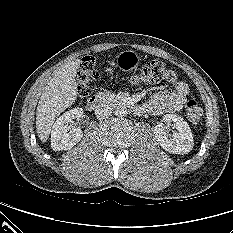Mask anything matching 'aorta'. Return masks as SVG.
I'll return each mask as SVG.
<instances>
[{"instance_id": "762f6f07", "label": "aorta", "mask_w": 233, "mask_h": 233, "mask_svg": "<svg viewBox=\"0 0 233 233\" xmlns=\"http://www.w3.org/2000/svg\"><path fill=\"white\" fill-rule=\"evenodd\" d=\"M115 114L118 117H124L127 115V108L123 105H119L115 108Z\"/></svg>"}]
</instances>
